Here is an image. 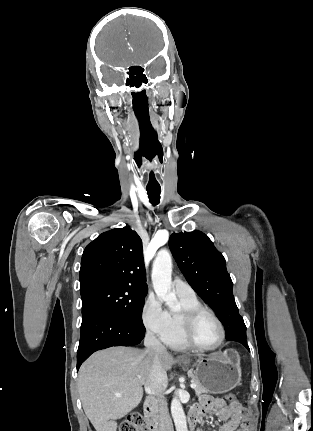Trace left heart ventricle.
Returning a JSON list of instances; mask_svg holds the SVG:
<instances>
[{
    "label": "left heart ventricle",
    "mask_w": 313,
    "mask_h": 431,
    "mask_svg": "<svg viewBox=\"0 0 313 431\" xmlns=\"http://www.w3.org/2000/svg\"><path fill=\"white\" fill-rule=\"evenodd\" d=\"M193 337L202 346H213L219 341L220 330L213 318L204 314L197 320Z\"/></svg>",
    "instance_id": "1"
}]
</instances>
